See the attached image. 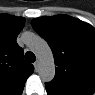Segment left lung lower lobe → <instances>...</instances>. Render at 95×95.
Listing matches in <instances>:
<instances>
[{
  "label": "left lung lower lobe",
  "instance_id": "left-lung-lower-lobe-1",
  "mask_svg": "<svg viewBox=\"0 0 95 95\" xmlns=\"http://www.w3.org/2000/svg\"><path fill=\"white\" fill-rule=\"evenodd\" d=\"M48 95H91L92 92L77 87L54 88L49 84L45 85Z\"/></svg>",
  "mask_w": 95,
  "mask_h": 95
}]
</instances>
